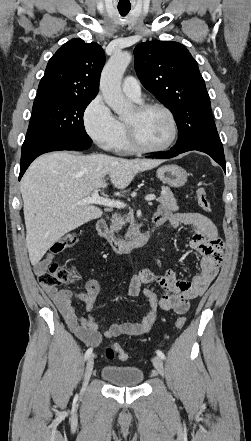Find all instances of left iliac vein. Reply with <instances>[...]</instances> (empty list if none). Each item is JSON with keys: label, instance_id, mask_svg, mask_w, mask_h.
Masks as SVG:
<instances>
[{"label": "left iliac vein", "instance_id": "left-iliac-vein-1", "mask_svg": "<svg viewBox=\"0 0 251 441\" xmlns=\"http://www.w3.org/2000/svg\"><path fill=\"white\" fill-rule=\"evenodd\" d=\"M152 362L157 372L163 377L165 374V370L162 359L159 356H156L152 359Z\"/></svg>", "mask_w": 251, "mask_h": 441}]
</instances>
